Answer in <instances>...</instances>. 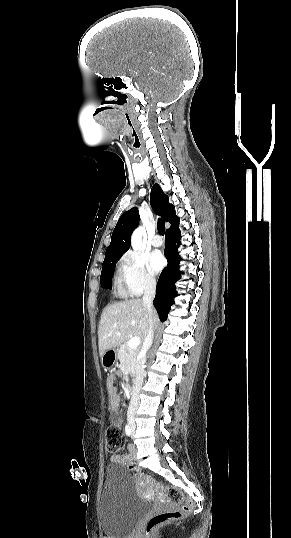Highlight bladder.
<instances>
[{
    "label": "bladder",
    "instance_id": "1",
    "mask_svg": "<svg viewBox=\"0 0 291 538\" xmlns=\"http://www.w3.org/2000/svg\"><path fill=\"white\" fill-rule=\"evenodd\" d=\"M151 509L152 505L137 495L134 479L124 466L106 467L99 504V525L105 538H126Z\"/></svg>",
    "mask_w": 291,
    "mask_h": 538
}]
</instances>
